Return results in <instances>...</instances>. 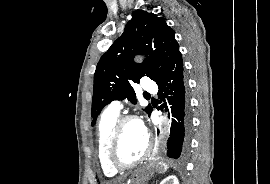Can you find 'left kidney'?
<instances>
[{
  "mask_svg": "<svg viewBox=\"0 0 270 184\" xmlns=\"http://www.w3.org/2000/svg\"><path fill=\"white\" fill-rule=\"evenodd\" d=\"M160 184H179V181L175 175H170L163 179Z\"/></svg>",
  "mask_w": 270,
  "mask_h": 184,
  "instance_id": "left-kidney-1",
  "label": "left kidney"
}]
</instances>
